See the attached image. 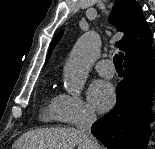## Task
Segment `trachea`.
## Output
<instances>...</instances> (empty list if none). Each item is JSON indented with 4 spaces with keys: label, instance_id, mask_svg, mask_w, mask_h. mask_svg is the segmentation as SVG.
<instances>
[{
    "label": "trachea",
    "instance_id": "3493384b",
    "mask_svg": "<svg viewBox=\"0 0 155 149\" xmlns=\"http://www.w3.org/2000/svg\"><path fill=\"white\" fill-rule=\"evenodd\" d=\"M113 62H114L116 70H122L123 71V66H122L123 53L116 54L114 56Z\"/></svg>",
    "mask_w": 155,
    "mask_h": 149
}]
</instances>
